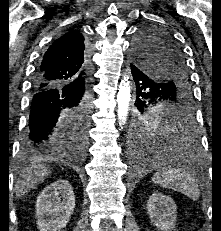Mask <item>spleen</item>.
I'll list each match as a JSON object with an SVG mask.
<instances>
[{
    "label": "spleen",
    "mask_w": 221,
    "mask_h": 231,
    "mask_svg": "<svg viewBox=\"0 0 221 231\" xmlns=\"http://www.w3.org/2000/svg\"><path fill=\"white\" fill-rule=\"evenodd\" d=\"M168 163L170 162H166V164ZM152 181L163 188L180 192L193 200H197L200 196V190L195 178L179 168V165L177 167L165 165L154 173Z\"/></svg>",
    "instance_id": "spleen-1"
}]
</instances>
